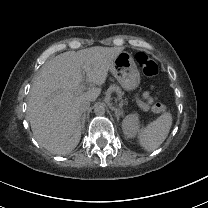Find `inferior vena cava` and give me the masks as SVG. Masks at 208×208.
Masks as SVG:
<instances>
[{"instance_id": "602c4592", "label": "inferior vena cava", "mask_w": 208, "mask_h": 208, "mask_svg": "<svg viewBox=\"0 0 208 208\" xmlns=\"http://www.w3.org/2000/svg\"><path fill=\"white\" fill-rule=\"evenodd\" d=\"M79 112H85L90 107V101L86 98L79 97L76 103Z\"/></svg>"}]
</instances>
